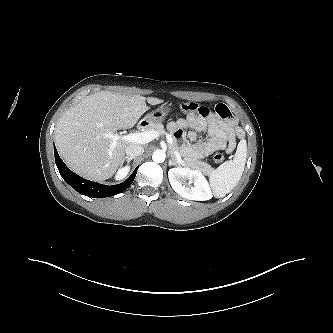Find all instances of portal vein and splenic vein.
<instances>
[{"label":"portal vein and splenic vein","mask_w":333,"mask_h":333,"mask_svg":"<svg viewBox=\"0 0 333 333\" xmlns=\"http://www.w3.org/2000/svg\"><path fill=\"white\" fill-rule=\"evenodd\" d=\"M103 136L112 139L111 147H115L118 140H124L127 142L138 143V144H146L151 142L154 139H157L160 136L158 131H145V132H137V133H130L127 135H119V134H111V133H104ZM168 143H172L173 139L170 135L166 136ZM176 158L179 163H183V160L179 156L177 152H175Z\"/></svg>","instance_id":"obj_1"}]
</instances>
